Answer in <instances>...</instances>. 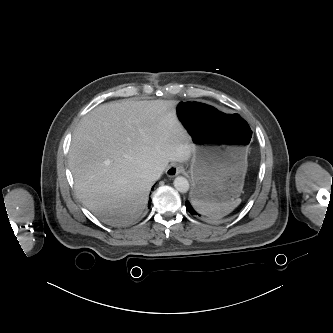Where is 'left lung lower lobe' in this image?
<instances>
[{"label":"left lung lower lobe","mask_w":333,"mask_h":333,"mask_svg":"<svg viewBox=\"0 0 333 333\" xmlns=\"http://www.w3.org/2000/svg\"><path fill=\"white\" fill-rule=\"evenodd\" d=\"M186 208L192 215L197 214L188 201H186Z\"/></svg>","instance_id":"0a47b994"}]
</instances>
